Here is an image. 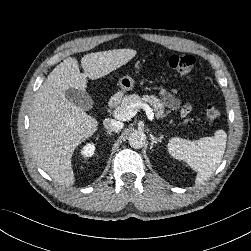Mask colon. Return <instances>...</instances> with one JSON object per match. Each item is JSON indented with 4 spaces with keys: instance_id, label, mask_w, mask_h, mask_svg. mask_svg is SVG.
<instances>
[{
    "instance_id": "1",
    "label": "colon",
    "mask_w": 251,
    "mask_h": 251,
    "mask_svg": "<svg viewBox=\"0 0 251 251\" xmlns=\"http://www.w3.org/2000/svg\"><path fill=\"white\" fill-rule=\"evenodd\" d=\"M166 64L168 68L183 76H192L197 68L194 58L188 55H171ZM204 115L208 121H214L220 116V110L215 104L208 102Z\"/></svg>"
}]
</instances>
